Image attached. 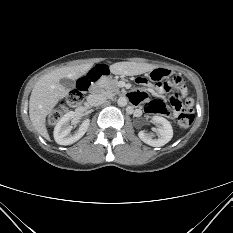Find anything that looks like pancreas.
<instances>
[{
    "mask_svg": "<svg viewBox=\"0 0 233 233\" xmlns=\"http://www.w3.org/2000/svg\"><path fill=\"white\" fill-rule=\"evenodd\" d=\"M102 92L108 96H113L114 94L118 93V81L111 78H103L99 82Z\"/></svg>",
    "mask_w": 233,
    "mask_h": 233,
    "instance_id": "1",
    "label": "pancreas"
}]
</instances>
